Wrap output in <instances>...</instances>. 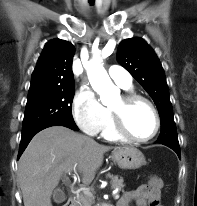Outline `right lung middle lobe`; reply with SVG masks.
I'll return each instance as SVG.
<instances>
[{
    "instance_id": "dd1d6c3e",
    "label": "right lung middle lobe",
    "mask_w": 197,
    "mask_h": 206,
    "mask_svg": "<svg viewBox=\"0 0 197 206\" xmlns=\"http://www.w3.org/2000/svg\"><path fill=\"white\" fill-rule=\"evenodd\" d=\"M75 87L29 89L22 132L48 122L75 124L72 101Z\"/></svg>"
}]
</instances>
